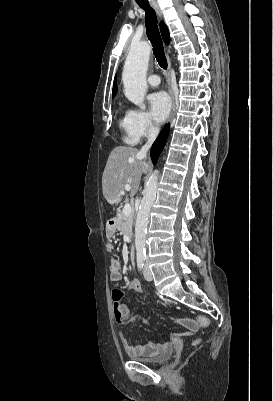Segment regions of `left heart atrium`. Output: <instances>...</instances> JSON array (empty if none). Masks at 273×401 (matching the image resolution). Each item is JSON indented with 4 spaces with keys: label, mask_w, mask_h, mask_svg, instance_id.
<instances>
[{
    "label": "left heart atrium",
    "mask_w": 273,
    "mask_h": 401,
    "mask_svg": "<svg viewBox=\"0 0 273 401\" xmlns=\"http://www.w3.org/2000/svg\"><path fill=\"white\" fill-rule=\"evenodd\" d=\"M150 116L158 123H162L170 111V101L163 93H153L147 98Z\"/></svg>",
    "instance_id": "obj_1"
}]
</instances>
